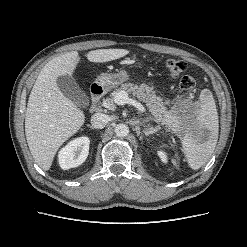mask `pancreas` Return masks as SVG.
Here are the masks:
<instances>
[{
    "label": "pancreas",
    "mask_w": 247,
    "mask_h": 247,
    "mask_svg": "<svg viewBox=\"0 0 247 247\" xmlns=\"http://www.w3.org/2000/svg\"><path fill=\"white\" fill-rule=\"evenodd\" d=\"M125 91L133 96L137 97L139 101L145 103L149 110L154 115L155 121L161 122L166 126L172 124V114L166 109L162 99L156 95L154 89L146 84L135 85L133 83H125L120 87L116 88L105 100L109 109L115 108L114 98L115 95L120 92Z\"/></svg>",
    "instance_id": "pancreas-1"
}]
</instances>
